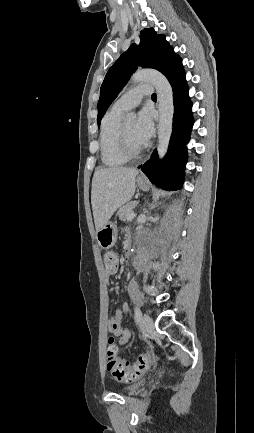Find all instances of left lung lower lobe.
<instances>
[{"label":"left lung lower lobe","instance_id":"1","mask_svg":"<svg viewBox=\"0 0 254 433\" xmlns=\"http://www.w3.org/2000/svg\"><path fill=\"white\" fill-rule=\"evenodd\" d=\"M173 89L174 116L173 132L169 148L162 161L154 150L151 158L140 165L146 176L156 186L165 190H179L183 183V173L187 161L186 144L189 141L193 126L192 103L188 95V87L182 60L178 58L164 74Z\"/></svg>","mask_w":254,"mask_h":433}]
</instances>
